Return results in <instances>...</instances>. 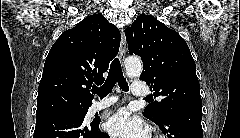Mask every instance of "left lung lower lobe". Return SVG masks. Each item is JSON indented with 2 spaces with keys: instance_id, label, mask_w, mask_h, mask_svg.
<instances>
[{
  "instance_id": "obj_1",
  "label": "left lung lower lobe",
  "mask_w": 240,
  "mask_h": 138,
  "mask_svg": "<svg viewBox=\"0 0 240 138\" xmlns=\"http://www.w3.org/2000/svg\"><path fill=\"white\" fill-rule=\"evenodd\" d=\"M201 103H186L172 108L156 123L168 138H203Z\"/></svg>"
}]
</instances>
